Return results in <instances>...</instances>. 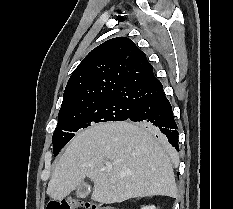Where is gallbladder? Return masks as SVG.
I'll return each instance as SVG.
<instances>
[{
	"instance_id": "gallbladder-1",
	"label": "gallbladder",
	"mask_w": 233,
	"mask_h": 209,
	"mask_svg": "<svg viewBox=\"0 0 233 209\" xmlns=\"http://www.w3.org/2000/svg\"><path fill=\"white\" fill-rule=\"evenodd\" d=\"M90 193V186L86 183L81 184L77 189H76V195L79 198H85L89 195Z\"/></svg>"
}]
</instances>
